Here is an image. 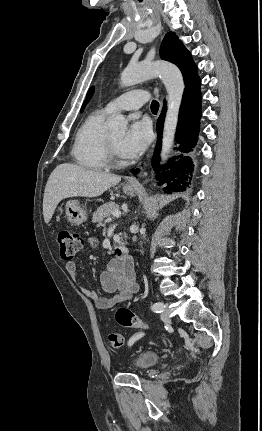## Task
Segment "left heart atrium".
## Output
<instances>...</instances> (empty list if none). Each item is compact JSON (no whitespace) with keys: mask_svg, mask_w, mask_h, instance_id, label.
<instances>
[{"mask_svg":"<svg viewBox=\"0 0 262 431\" xmlns=\"http://www.w3.org/2000/svg\"><path fill=\"white\" fill-rule=\"evenodd\" d=\"M150 138L149 125L134 118L118 145L119 153L126 158H135L143 153L150 142Z\"/></svg>","mask_w":262,"mask_h":431,"instance_id":"obj_1","label":"left heart atrium"}]
</instances>
